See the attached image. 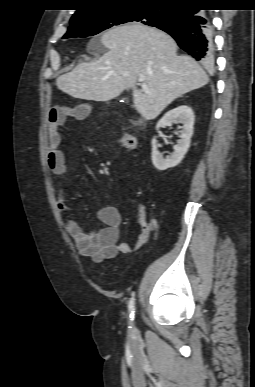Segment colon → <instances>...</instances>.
I'll return each instance as SVG.
<instances>
[{
	"mask_svg": "<svg viewBox=\"0 0 255 387\" xmlns=\"http://www.w3.org/2000/svg\"><path fill=\"white\" fill-rule=\"evenodd\" d=\"M115 142L128 150L136 151L138 149V142L136 137L130 134H123L118 139H116ZM140 226L142 232L148 235L155 230L156 222L154 220L141 218Z\"/></svg>",
	"mask_w": 255,
	"mask_h": 387,
	"instance_id": "obj_1",
	"label": "colon"
}]
</instances>
